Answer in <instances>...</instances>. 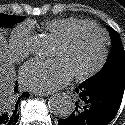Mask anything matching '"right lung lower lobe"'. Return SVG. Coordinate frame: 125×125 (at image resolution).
Listing matches in <instances>:
<instances>
[{"label": "right lung lower lobe", "mask_w": 125, "mask_h": 125, "mask_svg": "<svg viewBox=\"0 0 125 125\" xmlns=\"http://www.w3.org/2000/svg\"><path fill=\"white\" fill-rule=\"evenodd\" d=\"M17 83V82H16ZM17 88V84L15 90ZM29 93L25 92L19 97H13L9 103L0 110V125H16L19 119L18 104L20 99L28 98Z\"/></svg>", "instance_id": "98d812e1"}]
</instances>
